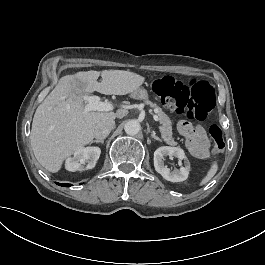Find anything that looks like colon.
<instances>
[{
  "label": "colon",
  "instance_id": "5ec220e1",
  "mask_svg": "<svg viewBox=\"0 0 265 265\" xmlns=\"http://www.w3.org/2000/svg\"><path fill=\"white\" fill-rule=\"evenodd\" d=\"M152 91L165 107L197 121L207 118L217 95L216 88L209 82L198 81L194 84H186L169 74L155 78ZM208 132L212 140L213 152L222 153L226 145L222 129L217 124H211Z\"/></svg>",
  "mask_w": 265,
  "mask_h": 265
}]
</instances>
